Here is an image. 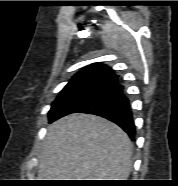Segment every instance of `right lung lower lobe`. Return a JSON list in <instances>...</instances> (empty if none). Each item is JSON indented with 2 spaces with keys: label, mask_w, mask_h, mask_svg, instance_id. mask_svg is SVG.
Here are the masks:
<instances>
[{
  "label": "right lung lower lobe",
  "mask_w": 178,
  "mask_h": 186,
  "mask_svg": "<svg viewBox=\"0 0 178 186\" xmlns=\"http://www.w3.org/2000/svg\"><path fill=\"white\" fill-rule=\"evenodd\" d=\"M74 113H88L104 117L119 125L131 139H134L136 131L132 110L120 83L114 84Z\"/></svg>",
  "instance_id": "1"
}]
</instances>
